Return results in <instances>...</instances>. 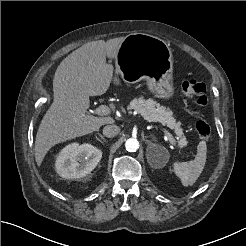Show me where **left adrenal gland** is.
I'll return each instance as SVG.
<instances>
[{
	"label": "left adrenal gland",
	"mask_w": 246,
	"mask_h": 246,
	"mask_svg": "<svg viewBox=\"0 0 246 246\" xmlns=\"http://www.w3.org/2000/svg\"><path fill=\"white\" fill-rule=\"evenodd\" d=\"M146 143L148 144V147H150V146H156L155 143H152V142L149 141V140H146Z\"/></svg>",
	"instance_id": "a2214340"
}]
</instances>
